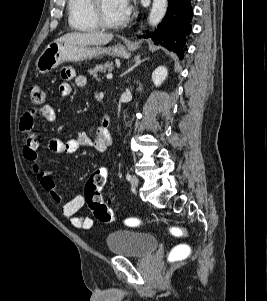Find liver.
<instances>
[{
  "label": "liver",
  "mask_w": 267,
  "mask_h": 301,
  "mask_svg": "<svg viewBox=\"0 0 267 301\" xmlns=\"http://www.w3.org/2000/svg\"><path fill=\"white\" fill-rule=\"evenodd\" d=\"M113 39L112 34L102 32L79 33L72 32L63 35L55 42H64L80 45H105Z\"/></svg>",
  "instance_id": "1"
}]
</instances>
